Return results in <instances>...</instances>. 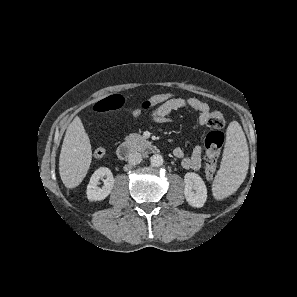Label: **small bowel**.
Masks as SVG:
<instances>
[{
    "mask_svg": "<svg viewBox=\"0 0 297 297\" xmlns=\"http://www.w3.org/2000/svg\"><path fill=\"white\" fill-rule=\"evenodd\" d=\"M190 107L199 113V123L206 125L210 115L209 105L197 97H173L163 103H160L149 110L141 111L138 107L131 112L134 116H138L143 112L150 111V117L154 122L163 123L170 120V114L173 111ZM173 155L181 159V165L185 169L198 170L202 162V148L196 146L193 148L190 155H185L180 147L173 150Z\"/></svg>",
    "mask_w": 297,
    "mask_h": 297,
    "instance_id": "c3829d8e",
    "label": "small bowel"
}]
</instances>
